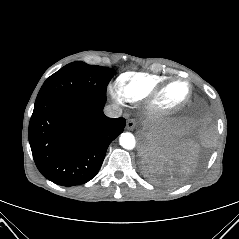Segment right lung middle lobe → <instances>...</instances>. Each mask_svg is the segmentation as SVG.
<instances>
[{
  "label": "right lung middle lobe",
  "mask_w": 239,
  "mask_h": 239,
  "mask_svg": "<svg viewBox=\"0 0 239 239\" xmlns=\"http://www.w3.org/2000/svg\"><path fill=\"white\" fill-rule=\"evenodd\" d=\"M114 72L107 67L72 62L44 82L36 102L57 96H82L106 101L107 85Z\"/></svg>",
  "instance_id": "right-lung-middle-lobe-1"
}]
</instances>
